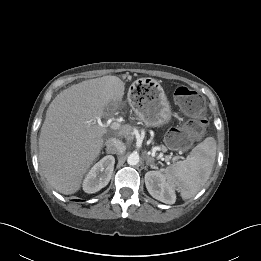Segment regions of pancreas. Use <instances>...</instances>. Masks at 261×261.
<instances>
[{
  "instance_id": "obj_1",
  "label": "pancreas",
  "mask_w": 261,
  "mask_h": 261,
  "mask_svg": "<svg viewBox=\"0 0 261 261\" xmlns=\"http://www.w3.org/2000/svg\"><path fill=\"white\" fill-rule=\"evenodd\" d=\"M161 149L164 151L166 148L164 146H161ZM166 160H167V158H166Z\"/></svg>"
}]
</instances>
